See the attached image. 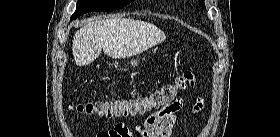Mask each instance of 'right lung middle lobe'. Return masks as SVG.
<instances>
[{
	"label": "right lung middle lobe",
	"instance_id": "right-lung-middle-lobe-1",
	"mask_svg": "<svg viewBox=\"0 0 280 137\" xmlns=\"http://www.w3.org/2000/svg\"><path fill=\"white\" fill-rule=\"evenodd\" d=\"M131 1L132 0H78L76 11L71 16V20L76 19L87 12H111L121 9Z\"/></svg>",
	"mask_w": 280,
	"mask_h": 137
}]
</instances>
